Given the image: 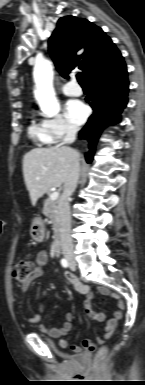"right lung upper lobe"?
I'll list each match as a JSON object with an SVG mask.
<instances>
[{"mask_svg": "<svg viewBox=\"0 0 145 385\" xmlns=\"http://www.w3.org/2000/svg\"><path fill=\"white\" fill-rule=\"evenodd\" d=\"M49 53L62 76L67 78L71 70L79 69L87 82L123 62L120 51L101 28L74 16L58 20L49 39Z\"/></svg>", "mask_w": 145, "mask_h": 385, "instance_id": "right-lung-upper-lobe-1", "label": "right lung upper lobe"}]
</instances>
